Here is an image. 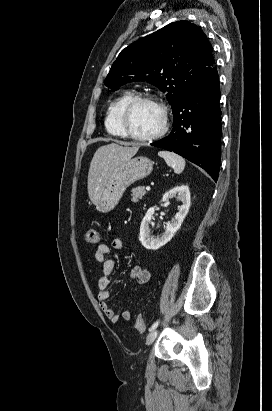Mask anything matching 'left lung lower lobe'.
I'll return each mask as SVG.
<instances>
[{
    "mask_svg": "<svg viewBox=\"0 0 272 411\" xmlns=\"http://www.w3.org/2000/svg\"><path fill=\"white\" fill-rule=\"evenodd\" d=\"M215 67L173 110L171 133L151 145L175 152L207 171L216 181L220 170L221 110Z\"/></svg>",
    "mask_w": 272,
    "mask_h": 411,
    "instance_id": "left-lung-lower-lobe-1",
    "label": "left lung lower lobe"
}]
</instances>
